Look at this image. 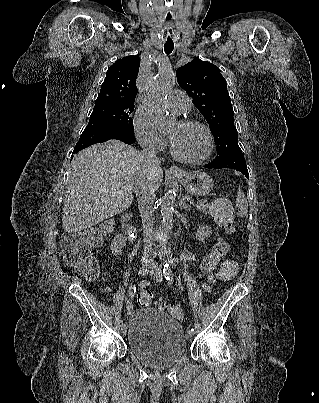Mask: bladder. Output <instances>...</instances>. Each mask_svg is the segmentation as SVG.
<instances>
[{"instance_id":"1","label":"bladder","mask_w":319,"mask_h":403,"mask_svg":"<svg viewBox=\"0 0 319 403\" xmlns=\"http://www.w3.org/2000/svg\"><path fill=\"white\" fill-rule=\"evenodd\" d=\"M126 338L129 352L150 368H169L188 352L181 324L152 308H140L130 314Z\"/></svg>"}]
</instances>
